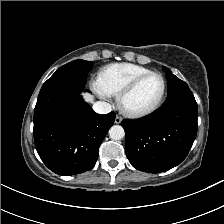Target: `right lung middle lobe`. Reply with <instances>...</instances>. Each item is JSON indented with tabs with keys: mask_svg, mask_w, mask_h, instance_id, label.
Segmentation results:
<instances>
[{
	"mask_svg": "<svg viewBox=\"0 0 224 224\" xmlns=\"http://www.w3.org/2000/svg\"><path fill=\"white\" fill-rule=\"evenodd\" d=\"M93 62L85 60H75L60 67L52 77L68 78L79 83L85 84L87 73L92 68Z\"/></svg>",
	"mask_w": 224,
	"mask_h": 224,
	"instance_id": "obj_1",
	"label": "right lung middle lobe"
}]
</instances>
